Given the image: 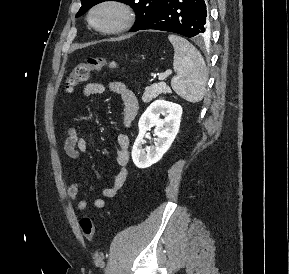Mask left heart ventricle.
I'll use <instances>...</instances> for the list:
<instances>
[{
  "mask_svg": "<svg viewBox=\"0 0 289 274\" xmlns=\"http://www.w3.org/2000/svg\"><path fill=\"white\" fill-rule=\"evenodd\" d=\"M93 23L99 27H109L118 20V14L115 10L104 8L98 10L93 15Z\"/></svg>",
  "mask_w": 289,
  "mask_h": 274,
  "instance_id": "left-heart-ventricle-1",
  "label": "left heart ventricle"
}]
</instances>
